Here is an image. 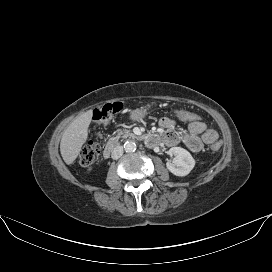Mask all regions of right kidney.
<instances>
[{
  "label": "right kidney",
  "mask_w": 272,
  "mask_h": 272,
  "mask_svg": "<svg viewBox=\"0 0 272 272\" xmlns=\"http://www.w3.org/2000/svg\"><path fill=\"white\" fill-rule=\"evenodd\" d=\"M87 171L90 172V171H91V168H89Z\"/></svg>",
  "instance_id": "obj_1"
}]
</instances>
